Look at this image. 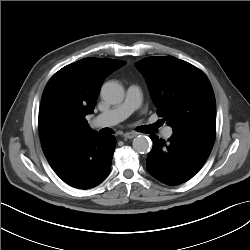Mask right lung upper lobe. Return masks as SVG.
<instances>
[{
    "label": "right lung upper lobe",
    "mask_w": 250,
    "mask_h": 250,
    "mask_svg": "<svg viewBox=\"0 0 250 250\" xmlns=\"http://www.w3.org/2000/svg\"><path fill=\"white\" fill-rule=\"evenodd\" d=\"M125 64L107 58H85L52 76L43 92L39 110V133L45 156L95 133L85 117L94 112L105 78Z\"/></svg>",
    "instance_id": "right-lung-upper-lobe-1"
}]
</instances>
